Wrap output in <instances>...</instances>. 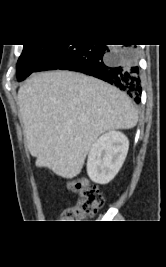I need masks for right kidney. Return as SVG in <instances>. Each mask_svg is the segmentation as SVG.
<instances>
[{
    "label": "right kidney",
    "mask_w": 166,
    "mask_h": 267,
    "mask_svg": "<svg viewBox=\"0 0 166 267\" xmlns=\"http://www.w3.org/2000/svg\"><path fill=\"white\" fill-rule=\"evenodd\" d=\"M129 141L117 131L103 134L92 145L88 160L87 174L93 182H110L122 167L127 156Z\"/></svg>",
    "instance_id": "ca27d5eb"
}]
</instances>
